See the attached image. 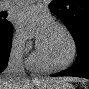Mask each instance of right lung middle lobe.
<instances>
[{"label":"right lung middle lobe","mask_w":89,"mask_h":89,"mask_svg":"<svg viewBox=\"0 0 89 89\" xmlns=\"http://www.w3.org/2000/svg\"><path fill=\"white\" fill-rule=\"evenodd\" d=\"M0 33L4 32L6 29H8L9 27L12 26V24L10 22H8L7 20H5L6 15L0 14Z\"/></svg>","instance_id":"right-lung-middle-lobe-1"}]
</instances>
